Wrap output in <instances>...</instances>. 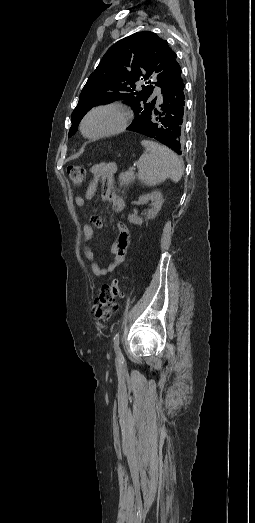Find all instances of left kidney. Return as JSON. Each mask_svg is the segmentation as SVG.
<instances>
[{
    "mask_svg": "<svg viewBox=\"0 0 255 523\" xmlns=\"http://www.w3.org/2000/svg\"><path fill=\"white\" fill-rule=\"evenodd\" d=\"M149 200H151L153 208L152 210H149L146 220H152V218H155L159 210H161V206L164 202L161 192H151V194L139 196L138 202L139 204H147ZM128 220L131 222V224H138V226H141L143 222L142 218H139V216H136V214H130V216H128Z\"/></svg>",
    "mask_w": 255,
    "mask_h": 523,
    "instance_id": "obj_1",
    "label": "left kidney"
}]
</instances>
